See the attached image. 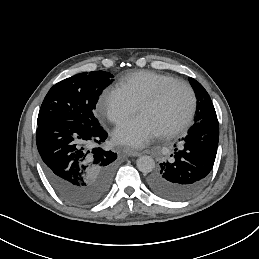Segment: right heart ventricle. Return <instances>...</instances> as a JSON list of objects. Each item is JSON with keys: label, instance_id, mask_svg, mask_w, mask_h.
<instances>
[{"label": "right heart ventricle", "instance_id": "e07e8e85", "mask_svg": "<svg viewBox=\"0 0 259 259\" xmlns=\"http://www.w3.org/2000/svg\"><path fill=\"white\" fill-rule=\"evenodd\" d=\"M172 79L174 77L169 74L142 71L122 78L117 88L140 105L143 100L154 95L161 84Z\"/></svg>", "mask_w": 259, "mask_h": 259}]
</instances>
